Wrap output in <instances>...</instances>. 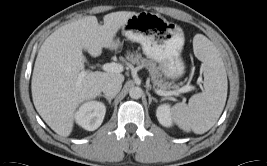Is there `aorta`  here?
Here are the masks:
<instances>
[{"label": "aorta", "instance_id": "aorta-1", "mask_svg": "<svg viewBox=\"0 0 267 166\" xmlns=\"http://www.w3.org/2000/svg\"><path fill=\"white\" fill-rule=\"evenodd\" d=\"M143 94V91L140 87H132L129 90V96L132 99H139Z\"/></svg>", "mask_w": 267, "mask_h": 166}]
</instances>
